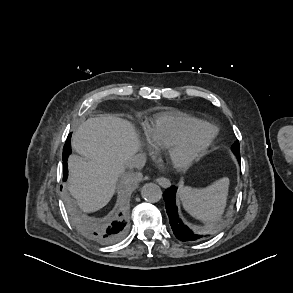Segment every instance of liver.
<instances>
[{
    "label": "liver",
    "mask_w": 293,
    "mask_h": 293,
    "mask_svg": "<svg viewBox=\"0 0 293 293\" xmlns=\"http://www.w3.org/2000/svg\"><path fill=\"white\" fill-rule=\"evenodd\" d=\"M72 147L80 156L68 159V189L84 212L97 211L111 200L118 177L139 150L137 134L118 117L89 118L73 133Z\"/></svg>",
    "instance_id": "obj_1"
}]
</instances>
